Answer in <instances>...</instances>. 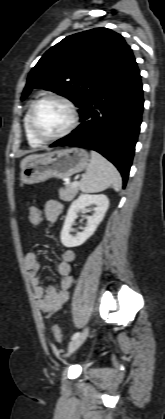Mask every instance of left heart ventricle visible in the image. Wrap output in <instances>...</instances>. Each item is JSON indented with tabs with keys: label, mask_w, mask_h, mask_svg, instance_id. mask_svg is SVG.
<instances>
[{
	"label": "left heart ventricle",
	"mask_w": 165,
	"mask_h": 419,
	"mask_svg": "<svg viewBox=\"0 0 165 419\" xmlns=\"http://www.w3.org/2000/svg\"><path fill=\"white\" fill-rule=\"evenodd\" d=\"M34 121L37 131L42 136L50 137L67 127L70 122V113L62 103L47 100L37 107Z\"/></svg>",
	"instance_id": "obj_1"
}]
</instances>
